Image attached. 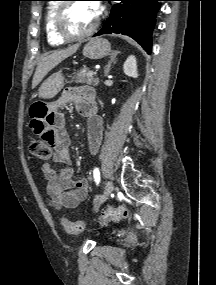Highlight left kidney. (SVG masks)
Listing matches in <instances>:
<instances>
[{
    "instance_id": "left-kidney-1",
    "label": "left kidney",
    "mask_w": 216,
    "mask_h": 285,
    "mask_svg": "<svg viewBox=\"0 0 216 285\" xmlns=\"http://www.w3.org/2000/svg\"><path fill=\"white\" fill-rule=\"evenodd\" d=\"M123 70H124V73L129 77H133V78L138 77L137 62H136L135 56L131 55L126 59L123 65Z\"/></svg>"
}]
</instances>
